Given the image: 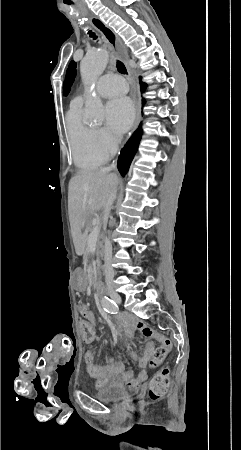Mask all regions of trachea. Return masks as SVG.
I'll list each match as a JSON object with an SVG mask.
<instances>
[{
	"mask_svg": "<svg viewBox=\"0 0 241 450\" xmlns=\"http://www.w3.org/2000/svg\"><path fill=\"white\" fill-rule=\"evenodd\" d=\"M88 33H89L90 37L93 38V40H97L98 37H97V35H95L94 32H92L91 30H89ZM116 67H117L118 72L123 73L124 75L127 74V69H126L124 63H122V62H120L119 60H117Z\"/></svg>",
	"mask_w": 241,
	"mask_h": 450,
	"instance_id": "obj_1",
	"label": "trachea"
}]
</instances>
